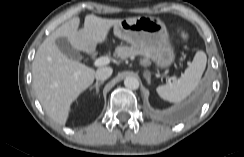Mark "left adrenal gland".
Segmentation results:
<instances>
[{
    "label": "left adrenal gland",
    "instance_id": "a2214340",
    "mask_svg": "<svg viewBox=\"0 0 244 157\" xmlns=\"http://www.w3.org/2000/svg\"><path fill=\"white\" fill-rule=\"evenodd\" d=\"M147 81H148V83H150V77L149 76L147 77Z\"/></svg>",
    "mask_w": 244,
    "mask_h": 157
}]
</instances>
